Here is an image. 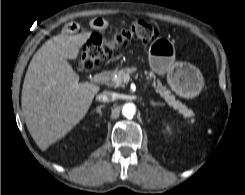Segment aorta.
I'll use <instances>...</instances> for the list:
<instances>
[{"label": "aorta", "instance_id": "762f6f07", "mask_svg": "<svg viewBox=\"0 0 245 195\" xmlns=\"http://www.w3.org/2000/svg\"><path fill=\"white\" fill-rule=\"evenodd\" d=\"M136 113V107L133 103H127L123 106L122 108V114L126 117V118H133V116Z\"/></svg>", "mask_w": 245, "mask_h": 195}]
</instances>
